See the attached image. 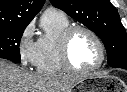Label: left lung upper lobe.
Returning a JSON list of instances; mask_svg holds the SVG:
<instances>
[{"mask_svg":"<svg viewBox=\"0 0 127 92\" xmlns=\"http://www.w3.org/2000/svg\"><path fill=\"white\" fill-rule=\"evenodd\" d=\"M56 8L94 31L103 41L109 66L127 62V35L109 0H50Z\"/></svg>","mask_w":127,"mask_h":92,"instance_id":"1","label":"left lung upper lobe"}]
</instances>
